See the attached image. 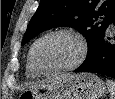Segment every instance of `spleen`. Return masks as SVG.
Instances as JSON below:
<instances>
[{"instance_id": "obj_1", "label": "spleen", "mask_w": 115, "mask_h": 99, "mask_svg": "<svg viewBox=\"0 0 115 99\" xmlns=\"http://www.w3.org/2000/svg\"><path fill=\"white\" fill-rule=\"evenodd\" d=\"M106 85H107L108 91L110 93V98L115 99V81L108 79L106 81Z\"/></svg>"}]
</instances>
